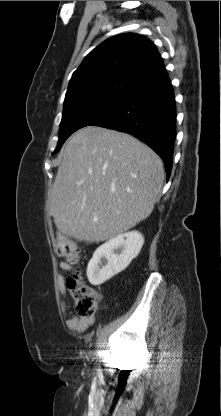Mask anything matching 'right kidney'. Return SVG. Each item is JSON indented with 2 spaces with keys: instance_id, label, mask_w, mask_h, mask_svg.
Here are the masks:
<instances>
[{
  "instance_id": "1",
  "label": "right kidney",
  "mask_w": 221,
  "mask_h": 416,
  "mask_svg": "<svg viewBox=\"0 0 221 416\" xmlns=\"http://www.w3.org/2000/svg\"><path fill=\"white\" fill-rule=\"evenodd\" d=\"M143 244L142 234L130 231L117 235L98 247L88 263L89 282L100 285L123 271L139 254Z\"/></svg>"
}]
</instances>
